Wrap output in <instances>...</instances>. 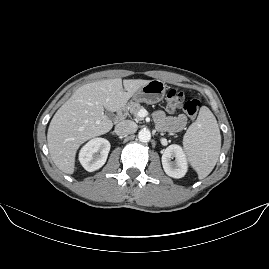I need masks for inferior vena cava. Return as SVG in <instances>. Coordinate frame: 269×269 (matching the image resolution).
Returning <instances> with one entry per match:
<instances>
[{
    "instance_id": "obj_1",
    "label": "inferior vena cava",
    "mask_w": 269,
    "mask_h": 269,
    "mask_svg": "<svg viewBox=\"0 0 269 269\" xmlns=\"http://www.w3.org/2000/svg\"><path fill=\"white\" fill-rule=\"evenodd\" d=\"M137 131V124L131 120H124L116 125L115 133L119 136L133 134Z\"/></svg>"
}]
</instances>
